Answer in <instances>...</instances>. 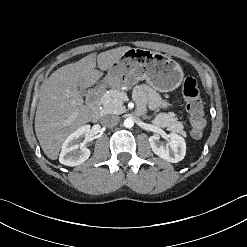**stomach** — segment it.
<instances>
[{"label":"stomach","instance_id":"1","mask_svg":"<svg viewBox=\"0 0 247 247\" xmlns=\"http://www.w3.org/2000/svg\"><path fill=\"white\" fill-rule=\"evenodd\" d=\"M183 72L170 57L141 48H131L114 62L105 76V83L117 90H129L146 80L161 92L173 91L181 84Z\"/></svg>","mask_w":247,"mask_h":247}]
</instances>
